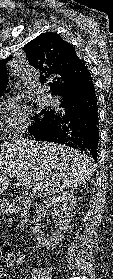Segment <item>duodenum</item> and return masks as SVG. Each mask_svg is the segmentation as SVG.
Wrapping results in <instances>:
<instances>
[{
  "label": "duodenum",
  "instance_id": "410a0bca",
  "mask_svg": "<svg viewBox=\"0 0 113 279\" xmlns=\"http://www.w3.org/2000/svg\"><path fill=\"white\" fill-rule=\"evenodd\" d=\"M19 213H20L21 225L23 226L28 219L29 213L28 210L25 208H21Z\"/></svg>",
  "mask_w": 113,
  "mask_h": 279
}]
</instances>
